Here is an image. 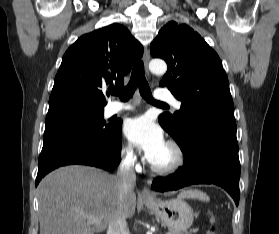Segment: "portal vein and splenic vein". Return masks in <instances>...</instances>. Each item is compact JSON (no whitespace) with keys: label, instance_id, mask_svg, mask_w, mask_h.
<instances>
[{"label":"portal vein and splenic vein","instance_id":"obj_1","mask_svg":"<svg viewBox=\"0 0 279 234\" xmlns=\"http://www.w3.org/2000/svg\"><path fill=\"white\" fill-rule=\"evenodd\" d=\"M87 221H88V223H91V224H98L100 221H99V219H97L96 217H94V216H91V215H88L87 216ZM198 231V228H195V229H193V232H197Z\"/></svg>","mask_w":279,"mask_h":234}]
</instances>
